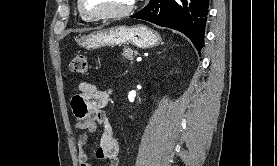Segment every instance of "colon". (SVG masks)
Returning <instances> with one entry per match:
<instances>
[{"instance_id": "5ec220e1", "label": "colon", "mask_w": 277, "mask_h": 166, "mask_svg": "<svg viewBox=\"0 0 277 166\" xmlns=\"http://www.w3.org/2000/svg\"><path fill=\"white\" fill-rule=\"evenodd\" d=\"M69 69L75 74H85L88 69L87 59L83 54H77L69 63Z\"/></svg>"}]
</instances>
